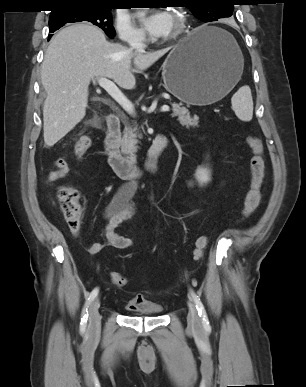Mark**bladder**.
I'll use <instances>...</instances> for the list:
<instances>
[{"instance_id":"31cf9c89","label":"bladder","mask_w":306,"mask_h":387,"mask_svg":"<svg viewBox=\"0 0 306 387\" xmlns=\"http://www.w3.org/2000/svg\"><path fill=\"white\" fill-rule=\"evenodd\" d=\"M128 309V308H127ZM163 306L158 303L154 302H145L141 306L137 307L136 309L128 311L133 315H144V316H150V317H157L160 316L163 313Z\"/></svg>"}]
</instances>
